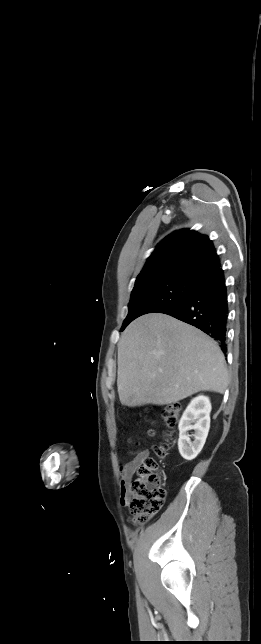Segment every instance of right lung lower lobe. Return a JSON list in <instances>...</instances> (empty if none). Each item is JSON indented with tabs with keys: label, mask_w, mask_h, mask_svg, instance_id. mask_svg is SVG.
I'll list each match as a JSON object with an SVG mask.
<instances>
[{
	"label": "right lung lower lobe",
	"mask_w": 261,
	"mask_h": 644,
	"mask_svg": "<svg viewBox=\"0 0 261 644\" xmlns=\"http://www.w3.org/2000/svg\"><path fill=\"white\" fill-rule=\"evenodd\" d=\"M160 313L199 328L217 340L222 351L226 352L228 301L221 267L197 279L184 300Z\"/></svg>",
	"instance_id": "1"
}]
</instances>
